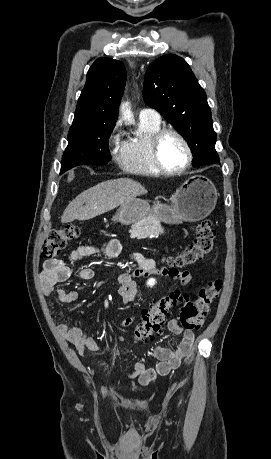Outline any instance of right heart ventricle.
<instances>
[{"label": "right heart ventricle", "instance_id": "obj_1", "mask_svg": "<svg viewBox=\"0 0 271 459\" xmlns=\"http://www.w3.org/2000/svg\"><path fill=\"white\" fill-rule=\"evenodd\" d=\"M160 128V121L140 119L138 135L124 145L121 153L120 164L125 171L146 176L162 173L151 157V139Z\"/></svg>", "mask_w": 271, "mask_h": 459}]
</instances>
